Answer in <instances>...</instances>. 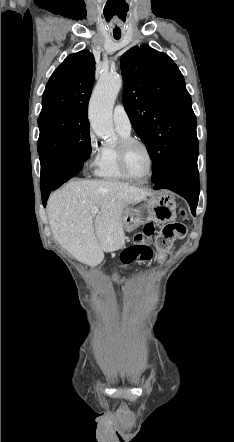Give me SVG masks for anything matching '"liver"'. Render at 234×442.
<instances>
[{"mask_svg":"<svg viewBox=\"0 0 234 442\" xmlns=\"http://www.w3.org/2000/svg\"><path fill=\"white\" fill-rule=\"evenodd\" d=\"M151 192L127 183L103 180H74L53 192L47 203L54 237L78 261L97 266L104 252L125 245L121 225L126 206ZM94 207L98 214H92Z\"/></svg>","mask_w":234,"mask_h":442,"instance_id":"liver-1","label":"liver"}]
</instances>
